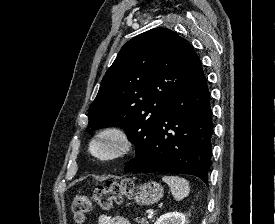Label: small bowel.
I'll use <instances>...</instances> for the list:
<instances>
[{"label": "small bowel", "instance_id": "obj_1", "mask_svg": "<svg viewBox=\"0 0 275 224\" xmlns=\"http://www.w3.org/2000/svg\"><path fill=\"white\" fill-rule=\"evenodd\" d=\"M98 224H130L128 220L121 216H110L102 214L98 217Z\"/></svg>", "mask_w": 275, "mask_h": 224}]
</instances>
